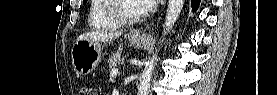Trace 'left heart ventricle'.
<instances>
[{"label":"left heart ventricle","instance_id":"obj_1","mask_svg":"<svg viewBox=\"0 0 277 95\" xmlns=\"http://www.w3.org/2000/svg\"><path fill=\"white\" fill-rule=\"evenodd\" d=\"M143 9L144 8L138 0H126L121 3L119 11L124 16L136 17L143 11Z\"/></svg>","mask_w":277,"mask_h":95}]
</instances>
